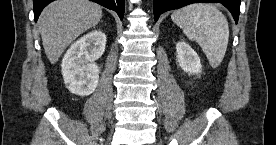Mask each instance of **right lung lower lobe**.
Here are the masks:
<instances>
[{
  "label": "right lung lower lobe",
  "instance_id": "1",
  "mask_svg": "<svg viewBox=\"0 0 276 145\" xmlns=\"http://www.w3.org/2000/svg\"><path fill=\"white\" fill-rule=\"evenodd\" d=\"M54 0H33L34 5V20L37 21L43 8ZM108 9L114 10L119 15L120 19L124 16V0H91Z\"/></svg>",
  "mask_w": 276,
  "mask_h": 145
}]
</instances>
